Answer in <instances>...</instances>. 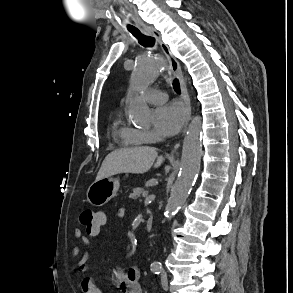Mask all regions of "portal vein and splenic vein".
I'll list each match as a JSON object with an SVG mask.
<instances>
[{
	"mask_svg": "<svg viewBox=\"0 0 293 293\" xmlns=\"http://www.w3.org/2000/svg\"><path fill=\"white\" fill-rule=\"evenodd\" d=\"M142 196H143L144 198H146V197L148 196V192L145 191V192L142 194Z\"/></svg>",
	"mask_w": 293,
	"mask_h": 293,
	"instance_id": "portal-vein-and-splenic-vein-1",
	"label": "portal vein and splenic vein"
}]
</instances>
